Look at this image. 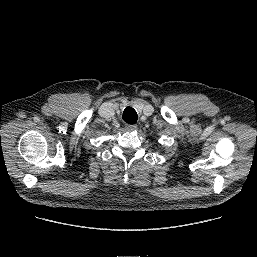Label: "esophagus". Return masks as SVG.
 Listing matches in <instances>:
<instances>
[{"mask_svg":"<svg viewBox=\"0 0 257 257\" xmlns=\"http://www.w3.org/2000/svg\"><path fill=\"white\" fill-rule=\"evenodd\" d=\"M125 128H126L127 131H133L137 128V125L136 124H127L125 126Z\"/></svg>","mask_w":257,"mask_h":257,"instance_id":"esophagus-1","label":"esophagus"}]
</instances>
